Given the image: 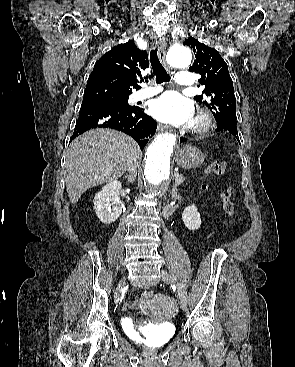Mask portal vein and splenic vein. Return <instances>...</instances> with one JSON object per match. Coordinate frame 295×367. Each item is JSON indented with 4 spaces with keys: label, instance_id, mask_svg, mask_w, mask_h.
Segmentation results:
<instances>
[{
    "label": "portal vein and splenic vein",
    "instance_id": "portal-vein-and-splenic-vein-1",
    "mask_svg": "<svg viewBox=\"0 0 295 367\" xmlns=\"http://www.w3.org/2000/svg\"><path fill=\"white\" fill-rule=\"evenodd\" d=\"M179 174L178 173H175L174 176H178Z\"/></svg>",
    "mask_w": 295,
    "mask_h": 367
}]
</instances>
